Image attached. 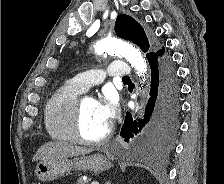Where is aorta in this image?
Here are the masks:
<instances>
[{
    "label": "aorta",
    "mask_w": 224,
    "mask_h": 184,
    "mask_svg": "<svg viewBox=\"0 0 224 184\" xmlns=\"http://www.w3.org/2000/svg\"><path fill=\"white\" fill-rule=\"evenodd\" d=\"M95 52L115 53L123 55L139 77L147 72V64L141 52L132 44L115 38H105L95 44ZM145 81V78L143 79Z\"/></svg>",
    "instance_id": "1"
}]
</instances>
